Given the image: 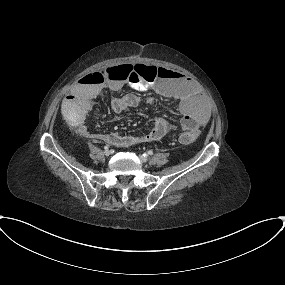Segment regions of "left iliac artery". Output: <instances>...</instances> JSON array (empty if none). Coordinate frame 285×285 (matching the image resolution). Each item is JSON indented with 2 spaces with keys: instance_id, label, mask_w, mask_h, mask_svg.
Instances as JSON below:
<instances>
[{
  "instance_id": "1",
  "label": "left iliac artery",
  "mask_w": 285,
  "mask_h": 285,
  "mask_svg": "<svg viewBox=\"0 0 285 285\" xmlns=\"http://www.w3.org/2000/svg\"><path fill=\"white\" fill-rule=\"evenodd\" d=\"M153 155V151H148L147 153L143 154V156Z\"/></svg>"
}]
</instances>
